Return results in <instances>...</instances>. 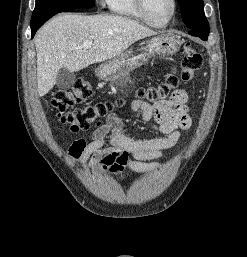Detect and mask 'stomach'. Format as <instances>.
Returning a JSON list of instances; mask_svg holds the SVG:
<instances>
[{
	"instance_id": "obj_1",
	"label": "stomach",
	"mask_w": 247,
	"mask_h": 257,
	"mask_svg": "<svg viewBox=\"0 0 247 257\" xmlns=\"http://www.w3.org/2000/svg\"><path fill=\"white\" fill-rule=\"evenodd\" d=\"M181 40L175 35H163L144 42L141 53L129 50L106 61L96 70V75L104 81H115L126 76L130 71L143 65L152 55H170L177 52Z\"/></svg>"
}]
</instances>
